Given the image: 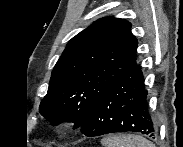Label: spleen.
I'll use <instances>...</instances> for the list:
<instances>
[{"label": "spleen", "mask_w": 183, "mask_h": 147, "mask_svg": "<svg viewBox=\"0 0 183 147\" xmlns=\"http://www.w3.org/2000/svg\"><path fill=\"white\" fill-rule=\"evenodd\" d=\"M101 143L104 147H155L152 142L144 137L134 134L105 136Z\"/></svg>", "instance_id": "1"}]
</instances>
